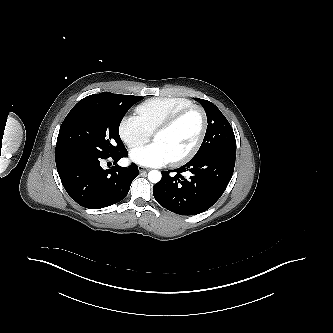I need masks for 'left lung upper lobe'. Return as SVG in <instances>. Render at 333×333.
<instances>
[{"mask_svg": "<svg viewBox=\"0 0 333 333\" xmlns=\"http://www.w3.org/2000/svg\"><path fill=\"white\" fill-rule=\"evenodd\" d=\"M195 100L205 109L208 126L203 143L193 158L212 152H236L235 135L225 116L212 102L199 98Z\"/></svg>", "mask_w": 333, "mask_h": 333, "instance_id": "obj_1", "label": "left lung upper lobe"}]
</instances>
